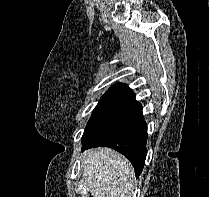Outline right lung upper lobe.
<instances>
[{"label":"right lung upper lobe","instance_id":"right-lung-upper-lobe-1","mask_svg":"<svg viewBox=\"0 0 209 197\" xmlns=\"http://www.w3.org/2000/svg\"><path fill=\"white\" fill-rule=\"evenodd\" d=\"M117 86H121V87H124V88H127V89H129L128 85H126V84H123V83H121V84H117Z\"/></svg>","mask_w":209,"mask_h":197}]
</instances>
